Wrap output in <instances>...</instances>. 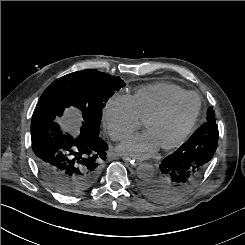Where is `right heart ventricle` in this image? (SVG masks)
Instances as JSON below:
<instances>
[{"instance_id":"1","label":"right heart ventricle","mask_w":245,"mask_h":245,"mask_svg":"<svg viewBox=\"0 0 245 245\" xmlns=\"http://www.w3.org/2000/svg\"><path fill=\"white\" fill-rule=\"evenodd\" d=\"M188 91L170 83L143 86L132 96L138 117L145 121L169 101L187 94Z\"/></svg>"}]
</instances>
